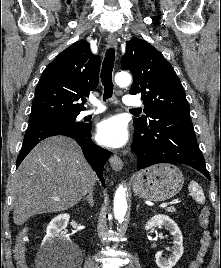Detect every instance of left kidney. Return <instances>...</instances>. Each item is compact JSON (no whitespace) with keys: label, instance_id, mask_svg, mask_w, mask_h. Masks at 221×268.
I'll return each mask as SVG.
<instances>
[{"label":"left kidney","instance_id":"left-kidney-1","mask_svg":"<svg viewBox=\"0 0 221 268\" xmlns=\"http://www.w3.org/2000/svg\"><path fill=\"white\" fill-rule=\"evenodd\" d=\"M154 227H164L170 231L173 236L172 254L168 259L162 257V251L155 254L156 264L159 268H173L183 255V236L178 225L166 215H155L145 225L149 230Z\"/></svg>","mask_w":221,"mask_h":268}]
</instances>
